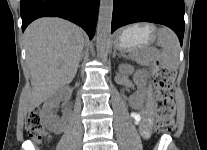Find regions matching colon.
Here are the masks:
<instances>
[{"label": "colon", "instance_id": "5ec220e1", "mask_svg": "<svg viewBox=\"0 0 207 150\" xmlns=\"http://www.w3.org/2000/svg\"><path fill=\"white\" fill-rule=\"evenodd\" d=\"M155 101H156V127L159 131L170 132L174 129V105L172 99V82L175 71L157 60L153 66ZM26 129L29 136L37 142L48 137L40 112L33 110L27 119Z\"/></svg>", "mask_w": 207, "mask_h": 150}]
</instances>
